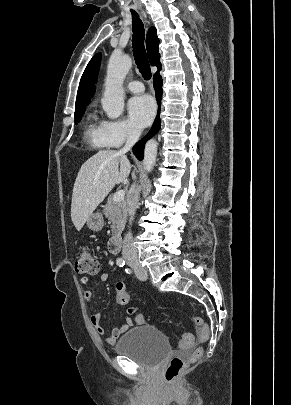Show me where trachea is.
<instances>
[{
	"instance_id": "obj_1",
	"label": "trachea",
	"mask_w": 291,
	"mask_h": 405,
	"mask_svg": "<svg viewBox=\"0 0 291 405\" xmlns=\"http://www.w3.org/2000/svg\"><path fill=\"white\" fill-rule=\"evenodd\" d=\"M131 13L133 26L132 48L135 62L142 76L146 80H149L151 78V69L144 46V39H145L144 25L141 19L139 18V15L135 11H132Z\"/></svg>"
}]
</instances>
